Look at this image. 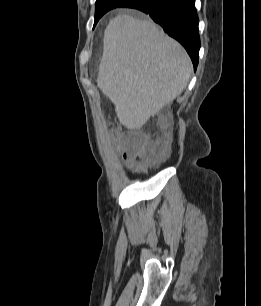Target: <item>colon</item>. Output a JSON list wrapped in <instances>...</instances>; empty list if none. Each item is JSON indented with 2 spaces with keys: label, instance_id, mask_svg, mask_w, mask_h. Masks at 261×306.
Segmentation results:
<instances>
[{
  "label": "colon",
  "instance_id": "5ec220e1",
  "mask_svg": "<svg viewBox=\"0 0 261 306\" xmlns=\"http://www.w3.org/2000/svg\"><path fill=\"white\" fill-rule=\"evenodd\" d=\"M158 126L161 130V135L153 151V156L156 160H163L167 155V141L170 136L168 129V118L166 116H161L158 120ZM144 144V138H140L136 135H131L125 141V148L131 157H135L141 154Z\"/></svg>",
  "mask_w": 261,
  "mask_h": 306
}]
</instances>
